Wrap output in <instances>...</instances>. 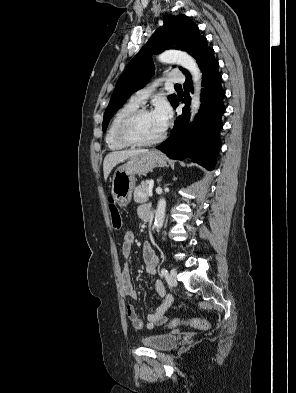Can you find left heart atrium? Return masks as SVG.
Instances as JSON below:
<instances>
[{"mask_svg": "<svg viewBox=\"0 0 296 393\" xmlns=\"http://www.w3.org/2000/svg\"><path fill=\"white\" fill-rule=\"evenodd\" d=\"M152 113L160 128L165 130L172 116V111L169 104L165 101L158 102Z\"/></svg>", "mask_w": 296, "mask_h": 393, "instance_id": "1", "label": "left heart atrium"}]
</instances>
